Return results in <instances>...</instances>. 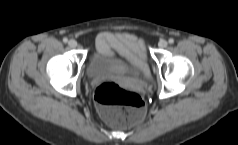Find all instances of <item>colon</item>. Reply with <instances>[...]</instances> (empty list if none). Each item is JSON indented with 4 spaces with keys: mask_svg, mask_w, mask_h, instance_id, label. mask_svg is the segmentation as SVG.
Wrapping results in <instances>:
<instances>
[{
    "mask_svg": "<svg viewBox=\"0 0 238 145\" xmlns=\"http://www.w3.org/2000/svg\"><path fill=\"white\" fill-rule=\"evenodd\" d=\"M94 99L102 118L116 126L133 125L145 116L143 97L135 91L122 88L113 81L98 85Z\"/></svg>",
    "mask_w": 238,
    "mask_h": 145,
    "instance_id": "colon-1",
    "label": "colon"
}]
</instances>
